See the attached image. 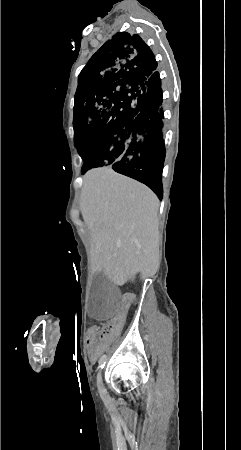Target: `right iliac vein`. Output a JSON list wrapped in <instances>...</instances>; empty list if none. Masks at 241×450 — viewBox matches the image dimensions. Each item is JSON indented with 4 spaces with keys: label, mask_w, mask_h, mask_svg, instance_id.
Segmentation results:
<instances>
[{
    "label": "right iliac vein",
    "mask_w": 241,
    "mask_h": 450,
    "mask_svg": "<svg viewBox=\"0 0 241 450\" xmlns=\"http://www.w3.org/2000/svg\"><path fill=\"white\" fill-rule=\"evenodd\" d=\"M97 386L101 393H105V389H104V385H103L100 373L98 374V377H97Z\"/></svg>",
    "instance_id": "1"
}]
</instances>
